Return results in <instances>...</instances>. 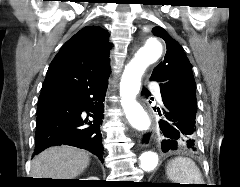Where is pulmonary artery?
<instances>
[{"instance_id": "e3ab8cb5", "label": "pulmonary artery", "mask_w": 240, "mask_h": 187, "mask_svg": "<svg viewBox=\"0 0 240 187\" xmlns=\"http://www.w3.org/2000/svg\"><path fill=\"white\" fill-rule=\"evenodd\" d=\"M150 88H151L152 90H154V91H158V85H157L156 83H151V84H150ZM156 97H157V100H158L159 102L162 101L161 96H160L159 93L156 94Z\"/></svg>"}]
</instances>
